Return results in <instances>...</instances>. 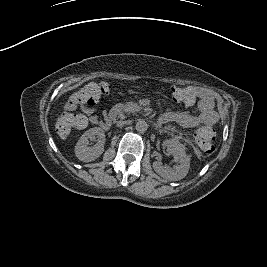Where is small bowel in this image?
<instances>
[{
    "mask_svg": "<svg viewBox=\"0 0 267 267\" xmlns=\"http://www.w3.org/2000/svg\"><path fill=\"white\" fill-rule=\"evenodd\" d=\"M190 94V101L186 106L193 105L197 103L199 113L197 116H190L186 114L179 113H166L160 118L161 124H167L170 122H178L183 127L194 128L198 125H204L205 127H210L218 121V113L215 110V97L214 94L202 87H188L184 88ZM77 102L74 100L68 101L66 104V109L70 112L77 110ZM82 114H77L83 116L87 123L92 125H99L100 127H105L104 119H99L95 115L94 105H81ZM80 128V127H77Z\"/></svg>",
    "mask_w": 267,
    "mask_h": 267,
    "instance_id": "obj_1",
    "label": "small bowel"
}]
</instances>
